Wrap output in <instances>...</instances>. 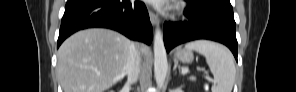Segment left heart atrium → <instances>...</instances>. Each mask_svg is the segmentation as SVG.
I'll use <instances>...</instances> for the list:
<instances>
[{"label": "left heart atrium", "mask_w": 296, "mask_h": 92, "mask_svg": "<svg viewBox=\"0 0 296 92\" xmlns=\"http://www.w3.org/2000/svg\"><path fill=\"white\" fill-rule=\"evenodd\" d=\"M151 2L158 5L159 7H163V5L166 4V1H163V0H154Z\"/></svg>", "instance_id": "obj_1"}]
</instances>
